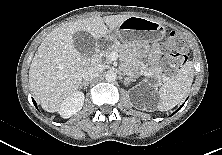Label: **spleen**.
Instances as JSON below:
<instances>
[{"label": "spleen", "mask_w": 222, "mask_h": 155, "mask_svg": "<svg viewBox=\"0 0 222 155\" xmlns=\"http://www.w3.org/2000/svg\"><path fill=\"white\" fill-rule=\"evenodd\" d=\"M194 77L193 63L186 62L177 75L167 78L159 87V111H168L182 103L192 85Z\"/></svg>", "instance_id": "1"}]
</instances>
